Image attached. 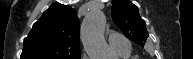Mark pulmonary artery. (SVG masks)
Wrapping results in <instances>:
<instances>
[{
	"mask_svg": "<svg viewBox=\"0 0 193 59\" xmlns=\"http://www.w3.org/2000/svg\"><path fill=\"white\" fill-rule=\"evenodd\" d=\"M108 41L113 50L118 52H127L131 50V46L126 42L123 35L117 34L115 32L108 33Z\"/></svg>",
	"mask_w": 193,
	"mask_h": 59,
	"instance_id": "obj_1",
	"label": "pulmonary artery"
}]
</instances>
